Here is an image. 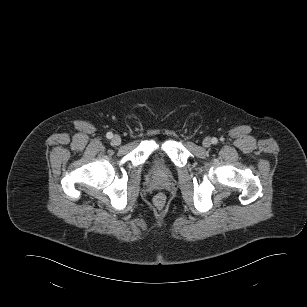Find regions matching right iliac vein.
Wrapping results in <instances>:
<instances>
[{
    "instance_id": "right-iliac-vein-1",
    "label": "right iliac vein",
    "mask_w": 307,
    "mask_h": 307,
    "mask_svg": "<svg viewBox=\"0 0 307 307\" xmlns=\"http://www.w3.org/2000/svg\"><path fill=\"white\" fill-rule=\"evenodd\" d=\"M112 143L113 145H120L121 144V138L120 136L118 135H115L113 138H112Z\"/></svg>"
}]
</instances>
